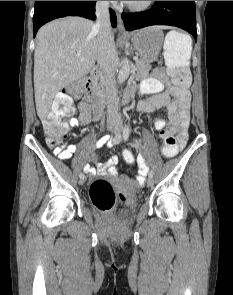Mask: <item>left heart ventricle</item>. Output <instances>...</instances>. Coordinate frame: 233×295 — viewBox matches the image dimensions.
I'll return each instance as SVG.
<instances>
[{"instance_id": "1", "label": "left heart ventricle", "mask_w": 233, "mask_h": 295, "mask_svg": "<svg viewBox=\"0 0 233 295\" xmlns=\"http://www.w3.org/2000/svg\"><path fill=\"white\" fill-rule=\"evenodd\" d=\"M128 2L132 4H140V3H143L144 1H128Z\"/></svg>"}]
</instances>
